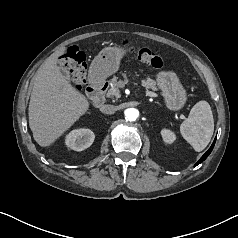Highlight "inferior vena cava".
Returning <instances> with one entry per match:
<instances>
[{"mask_svg":"<svg viewBox=\"0 0 238 238\" xmlns=\"http://www.w3.org/2000/svg\"><path fill=\"white\" fill-rule=\"evenodd\" d=\"M100 111L104 114H114L116 107L114 105L106 104L101 106Z\"/></svg>","mask_w":238,"mask_h":238,"instance_id":"1","label":"inferior vena cava"}]
</instances>
